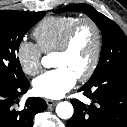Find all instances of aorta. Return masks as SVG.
Instances as JSON below:
<instances>
[{
    "instance_id": "762f6f07",
    "label": "aorta",
    "mask_w": 127,
    "mask_h": 127,
    "mask_svg": "<svg viewBox=\"0 0 127 127\" xmlns=\"http://www.w3.org/2000/svg\"><path fill=\"white\" fill-rule=\"evenodd\" d=\"M42 65L46 68L50 67L51 60L45 56L42 58ZM74 112L73 106L70 102L63 101L56 106V113L61 119H69L72 117Z\"/></svg>"
}]
</instances>
